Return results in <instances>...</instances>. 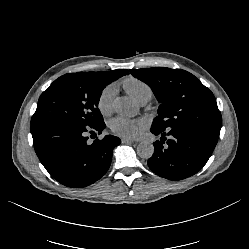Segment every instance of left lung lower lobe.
<instances>
[{"label": "left lung lower lobe", "instance_id": "0a47b994", "mask_svg": "<svg viewBox=\"0 0 249 249\" xmlns=\"http://www.w3.org/2000/svg\"><path fill=\"white\" fill-rule=\"evenodd\" d=\"M221 127L201 124L182 125L168 130L151 126L160 141L148 160L149 168L160 177L177 181L194 175L208 161L217 144ZM168 136V139L166 138Z\"/></svg>", "mask_w": 249, "mask_h": 249}]
</instances>
